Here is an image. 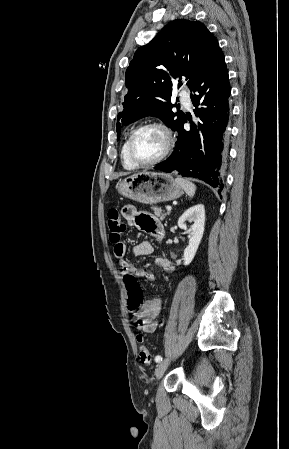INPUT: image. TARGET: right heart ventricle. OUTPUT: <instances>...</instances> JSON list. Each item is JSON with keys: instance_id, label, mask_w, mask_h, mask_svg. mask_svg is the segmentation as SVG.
<instances>
[{"instance_id": "obj_1", "label": "right heart ventricle", "mask_w": 289, "mask_h": 449, "mask_svg": "<svg viewBox=\"0 0 289 449\" xmlns=\"http://www.w3.org/2000/svg\"><path fill=\"white\" fill-rule=\"evenodd\" d=\"M128 139L125 140L122 149H121V158L123 166L128 170L136 169L138 166H136L129 158L128 155Z\"/></svg>"}]
</instances>
